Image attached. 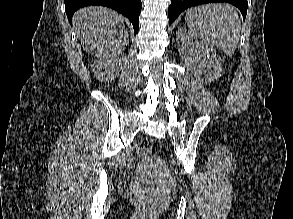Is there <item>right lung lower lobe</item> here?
<instances>
[{
  "mask_svg": "<svg viewBox=\"0 0 293 219\" xmlns=\"http://www.w3.org/2000/svg\"><path fill=\"white\" fill-rule=\"evenodd\" d=\"M65 11L69 21L76 10L88 5H102L110 7L129 18L133 24L135 34L139 28V14L141 12V0H64Z\"/></svg>",
  "mask_w": 293,
  "mask_h": 219,
  "instance_id": "1",
  "label": "right lung lower lobe"
}]
</instances>
